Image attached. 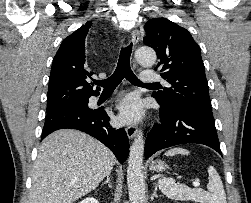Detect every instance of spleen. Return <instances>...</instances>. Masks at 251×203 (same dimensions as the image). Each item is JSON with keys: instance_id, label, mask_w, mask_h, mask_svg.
<instances>
[{"instance_id": "3e777b00", "label": "spleen", "mask_w": 251, "mask_h": 203, "mask_svg": "<svg viewBox=\"0 0 251 203\" xmlns=\"http://www.w3.org/2000/svg\"><path fill=\"white\" fill-rule=\"evenodd\" d=\"M177 154L188 155L189 151L181 147H175L165 152L166 156H174ZM208 173V192L203 189H191L185 184H177L172 178L159 179L158 186L166 197L176 201L191 200L198 203H227L226 194L219 174L212 166L208 168Z\"/></svg>"}]
</instances>
